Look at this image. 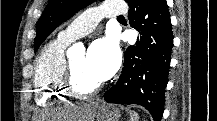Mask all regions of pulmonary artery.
Segmentation results:
<instances>
[{
	"label": "pulmonary artery",
	"instance_id": "obj_1",
	"mask_svg": "<svg viewBox=\"0 0 217 121\" xmlns=\"http://www.w3.org/2000/svg\"><path fill=\"white\" fill-rule=\"evenodd\" d=\"M126 12L127 7L118 2H107L90 8L67 25L59 33V37L69 42L73 41L93 31L102 18H119Z\"/></svg>",
	"mask_w": 217,
	"mask_h": 121
}]
</instances>
